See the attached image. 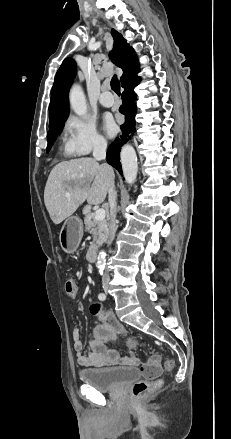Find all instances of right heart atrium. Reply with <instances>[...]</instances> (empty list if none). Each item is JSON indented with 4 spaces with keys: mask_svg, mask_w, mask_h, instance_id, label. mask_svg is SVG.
<instances>
[{
    "mask_svg": "<svg viewBox=\"0 0 231 439\" xmlns=\"http://www.w3.org/2000/svg\"><path fill=\"white\" fill-rule=\"evenodd\" d=\"M66 147L70 154L88 155L107 147V141L97 130L95 121L87 117L72 116L66 123Z\"/></svg>",
    "mask_w": 231,
    "mask_h": 439,
    "instance_id": "1",
    "label": "right heart atrium"
}]
</instances>
